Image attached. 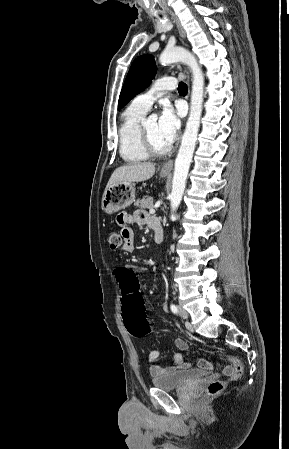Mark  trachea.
Returning a JSON list of instances; mask_svg holds the SVG:
<instances>
[{
  "label": "trachea",
  "mask_w": 289,
  "mask_h": 449,
  "mask_svg": "<svg viewBox=\"0 0 289 449\" xmlns=\"http://www.w3.org/2000/svg\"><path fill=\"white\" fill-rule=\"evenodd\" d=\"M187 91H188L187 85L183 82H180L179 86H178V92L179 93H187Z\"/></svg>",
  "instance_id": "3493384b"
}]
</instances>
